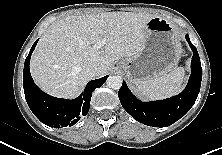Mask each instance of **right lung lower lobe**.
Segmentation results:
<instances>
[{
	"label": "right lung lower lobe",
	"instance_id": "right-lung-lower-lobe-1",
	"mask_svg": "<svg viewBox=\"0 0 222 155\" xmlns=\"http://www.w3.org/2000/svg\"><path fill=\"white\" fill-rule=\"evenodd\" d=\"M38 40L33 44L24 64L23 87L26 101L33 114L44 124L60 128L73 126L80 116H85L90 107L92 92L106 81L107 76L90 81L84 92L76 99L52 97L41 91L34 83L30 70V58Z\"/></svg>",
	"mask_w": 222,
	"mask_h": 155
}]
</instances>
